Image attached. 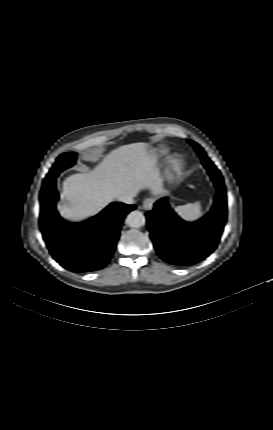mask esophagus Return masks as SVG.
<instances>
[{
    "label": "esophagus",
    "mask_w": 273,
    "mask_h": 430,
    "mask_svg": "<svg viewBox=\"0 0 273 430\" xmlns=\"http://www.w3.org/2000/svg\"><path fill=\"white\" fill-rule=\"evenodd\" d=\"M155 202L154 198H146L142 203V209L145 211L151 210Z\"/></svg>",
    "instance_id": "esophagus-1"
}]
</instances>
